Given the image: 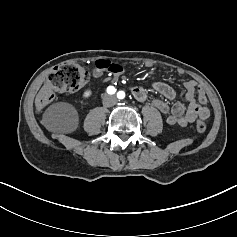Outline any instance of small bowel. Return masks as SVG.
Here are the masks:
<instances>
[{
    "label": "small bowel",
    "instance_id": "obj_1",
    "mask_svg": "<svg viewBox=\"0 0 237 237\" xmlns=\"http://www.w3.org/2000/svg\"><path fill=\"white\" fill-rule=\"evenodd\" d=\"M184 87L188 108H185L181 103L170 105L166 101L173 100L177 96L176 91L167 83L162 81L153 83V88L166 100L154 99L152 105L166 115V121L170 125L185 127L197 119L205 120L209 117L210 111L206 106L207 96L202 86L194 80H188L184 83ZM130 91L136 100L140 102L148 100V93L143 87L132 85Z\"/></svg>",
    "mask_w": 237,
    "mask_h": 237
}]
</instances>
